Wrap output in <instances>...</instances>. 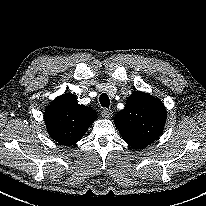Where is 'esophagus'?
Segmentation results:
<instances>
[{"label":"esophagus","instance_id":"1","mask_svg":"<svg viewBox=\"0 0 206 206\" xmlns=\"http://www.w3.org/2000/svg\"><path fill=\"white\" fill-rule=\"evenodd\" d=\"M101 115L104 118H111L113 115V111L111 109L105 108L101 111Z\"/></svg>","mask_w":206,"mask_h":206}]
</instances>
